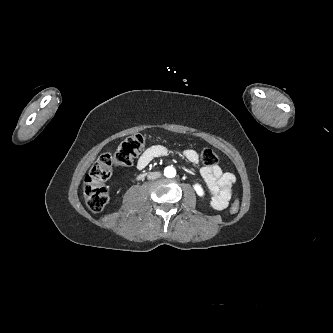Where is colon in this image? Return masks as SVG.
I'll return each mask as SVG.
<instances>
[{"label": "colon", "mask_w": 333, "mask_h": 333, "mask_svg": "<svg viewBox=\"0 0 333 333\" xmlns=\"http://www.w3.org/2000/svg\"><path fill=\"white\" fill-rule=\"evenodd\" d=\"M147 142L146 136L134 134L124 139L113 153H105L99 157L84 180V196L89 209L102 211L109 201L105 181L110 177L114 167L131 165L142 152ZM201 162L213 166L219 162L217 154L211 149L201 152ZM240 203L235 199L230 206V213L238 212Z\"/></svg>", "instance_id": "1"}]
</instances>
